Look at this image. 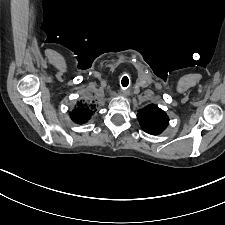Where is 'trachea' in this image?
<instances>
[{
	"mask_svg": "<svg viewBox=\"0 0 225 225\" xmlns=\"http://www.w3.org/2000/svg\"><path fill=\"white\" fill-rule=\"evenodd\" d=\"M121 84H122L123 87H127V86H128V84H129V79H128L127 76H124V77L122 78Z\"/></svg>",
	"mask_w": 225,
	"mask_h": 225,
	"instance_id": "3493384b",
	"label": "trachea"
}]
</instances>
